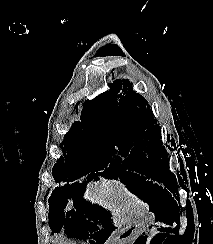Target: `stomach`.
<instances>
[{"mask_svg": "<svg viewBox=\"0 0 213 244\" xmlns=\"http://www.w3.org/2000/svg\"><path fill=\"white\" fill-rule=\"evenodd\" d=\"M155 214L152 212H146L142 214L137 220L129 223L124 227L120 234L116 235L117 239H107V244H128L126 237H134L148 229L150 225L155 222ZM122 234V235H121ZM122 238V239H120Z\"/></svg>", "mask_w": 213, "mask_h": 244, "instance_id": "stomach-1", "label": "stomach"}]
</instances>
